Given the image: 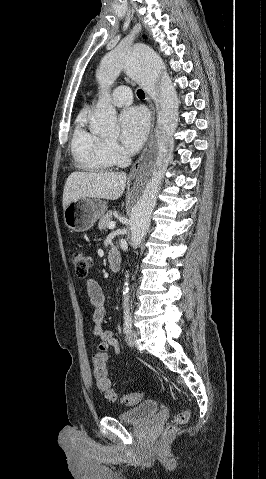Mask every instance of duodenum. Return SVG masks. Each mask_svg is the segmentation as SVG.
<instances>
[{"mask_svg":"<svg viewBox=\"0 0 266 479\" xmlns=\"http://www.w3.org/2000/svg\"><path fill=\"white\" fill-rule=\"evenodd\" d=\"M108 261L113 273H118L121 265V255L117 248H111L108 252Z\"/></svg>","mask_w":266,"mask_h":479,"instance_id":"obj_1","label":"duodenum"}]
</instances>
